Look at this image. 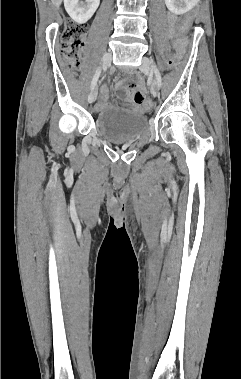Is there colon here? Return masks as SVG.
Instances as JSON below:
<instances>
[{
	"label": "colon",
	"mask_w": 241,
	"mask_h": 379,
	"mask_svg": "<svg viewBox=\"0 0 241 379\" xmlns=\"http://www.w3.org/2000/svg\"><path fill=\"white\" fill-rule=\"evenodd\" d=\"M189 13L183 14L182 26L180 23H175L172 32L170 33L169 42L172 45H177V41H181L184 38L183 30H190L191 25L195 24L196 15H198V8H189ZM182 27V28H181ZM88 31V27L82 23H70L66 26L60 36L61 53L64 63L69 68H77L80 64V56L85 46V37ZM164 50V49H163ZM173 50V49H171ZM157 62H161L162 65H169L170 68H177L178 62L174 61V57L170 56V53H159L157 56ZM150 98H143L142 104L144 109H151L152 103Z\"/></svg>",
	"instance_id": "obj_1"
}]
</instances>
